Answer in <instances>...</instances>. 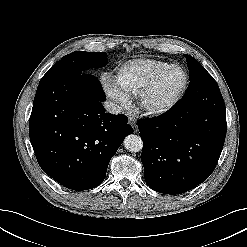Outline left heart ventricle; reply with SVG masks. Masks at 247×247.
Instances as JSON below:
<instances>
[{"mask_svg": "<svg viewBox=\"0 0 247 247\" xmlns=\"http://www.w3.org/2000/svg\"><path fill=\"white\" fill-rule=\"evenodd\" d=\"M183 73L180 69L167 71L150 97L152 104L158 105L170 99L182 86Z\"/></svg>", "mask_w": 247, "mask_h": 247, "instance_id": "1", "label": "left heart ventricle"}]
</instances>
